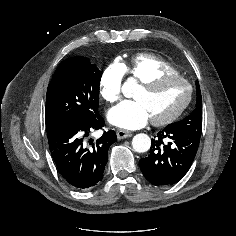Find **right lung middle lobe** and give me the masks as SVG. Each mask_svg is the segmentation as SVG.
Wrapping results in <instances>:
<instances>
[{"mask_svg": "<svg viewBox=\"0 0 236 236\" xmlns=\"http://www.w3.org/2000/svg\"><path fill=\"white\" fill-rule=\"evenodd\" d=\"M102 72L85 57L64 60L48 85L45 122L65 124L98 113Z\"/></svg>", "mask_w": 236, "mask_h": 236, "instance_id": "right-lung-middle-lobe-1", "label": "right lung middle lobe"}]
</instances>
